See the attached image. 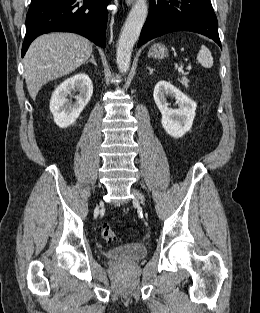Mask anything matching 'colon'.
Wrapping results in <instances>:
<instances>
[{
	"label": "colon",
	"instance_id": "obj_1",
	"mask_svg": "<svg viewBox=\"0 0 260 313\" xmlns=\"http://www.w3.org/2000/svg\"><path fill=\"white\" fill-rule=\"evenodd\" d=\"M101 237L109 243H113L117 240L116 233L107 225H103L100 228Z\"/></svg>",
	"mask_w": 260,
	"mask_h": 313
}]
</instances>
